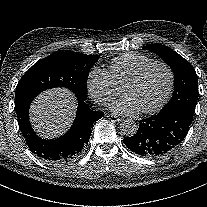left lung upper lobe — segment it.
I'll use <instances>...</instances> for the list:
<instances>
[{
	"mask_svg": "<svg viewBox=\"0 0 207 207\" xmlns=\"http://www.w3.org/2000/svg\"><path fill=\"white\" fill-rule=\"evenodd\" d=\"M160 56L174 73V92L171 100L161 109H183L194 114L198 99L197 74L192 65L177 52L161 44H150L143 47Z\"/></svg>",
	"mask_w": 207,
	"mask_h": 207,
	"instance_id": "left-lung-upper-lobe-1",
	"label": "left lung upper lobe"
}]
</instances>
